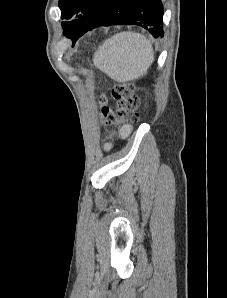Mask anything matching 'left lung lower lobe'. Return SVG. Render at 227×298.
Here are the masks:
<instances>
[{
    "label": "left lung lower lobe",
    "instance_id": "obj_1",
    "mask_svg": "<svg viewBox=\"0 0 227 298\" xmlns=\"http://www.w3.org/2000/svg\"><path fill=\"white\" fill-rule=\"evenodd\" d=\"M162 18L163 6L160 0H107L94 28L138 25L147 29L154 37H162Z\"/></svg>",
    "mask_w": 227,
    "mask_h": 298
}]
</instances>
